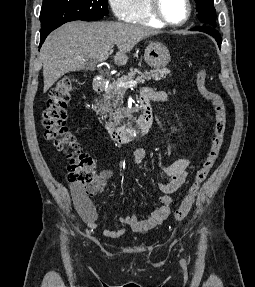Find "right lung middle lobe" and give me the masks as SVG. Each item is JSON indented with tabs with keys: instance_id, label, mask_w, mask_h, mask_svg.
Returning a JSON list of instances; mask_svg holds the SVG:
<instances>
[{
	"instance_id": "dd1d6c3e",
	"label": "right lung middle lobe",
	"mask_w": 255,
	"mask_h": 287,
	"mask_svg": "<svg viewBox=\"0 0 255 287\" xmlns=\"http://www.w3.org/2000/svg\"><path fill=\"white\" fill-rule=\"evenodd\" d=\"M107 14V0H43L40 31L74 20H99Z\"/></svg>"
}]
</instances>
